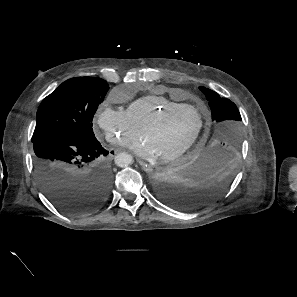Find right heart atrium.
<instances>
[{"label": "right heart atrium", "mask_w": 297, "mask_h": 297, "mask_svg": "<svg viewBox=\"0 0 297 297\" xmlns=\"http://www.w3.org/2000/svg\"><path fill=\"white\" fill-rule=\"evenodd\" d=\"M112 100L111 98L109 102L100 105L95 123L108 142L126 147L139 136L140 129L131 121L126 111L112 106Z\"/></svg>", "instance_id": "d8ad5b80"}]
</instances>
